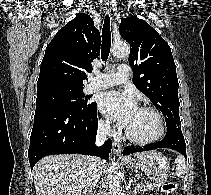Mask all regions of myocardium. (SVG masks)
<instances>
[{"label": "myocardium", "instance_id": "1", "mask_svg": "<svg viewBox=\"0 0 211 195\" xmlns=\"http://www.w3.org/2000/svg\"><path fill=\"white\" fill-rule=\"evenodd\" d=\"M139 109L141 110H146V111H150L152 112L153 114H155L159 120V123H160V129L158 131V133L150 138H146V139H141V138H137L135 136H133L129 130L126 128L125 129V136L126 138L135 143V144H139V145H147V144H151V143H154L158 140H160L164 134H165V131H166V121H165V118L163 116V114L155 107L153 106H149V105H144V106H141Z\"/></svg>", "mask_w": 211, "mask_h": 195}]
</instances>
